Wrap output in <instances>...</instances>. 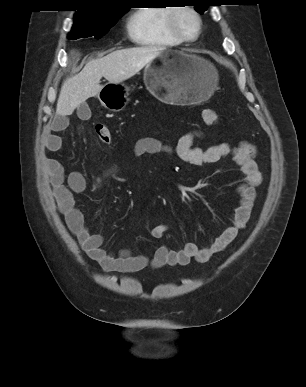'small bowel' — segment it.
<instances>
[{
	"instance_id": "1",
	"label": "small bowel",
	"mask_w": 306,
	"mask_h": 387,
	"mask_svg": "<svg viewBox=\"0 0 306 387\" xmlns=\"http://www.w3.org/2000/svg\"><path fill=\"white\" fill-rule=\"evenodd\" d=\"M68 125L65 115H58L48 126L44 137L45 157L43 168L52 189V195L57 208L64 217L65 222L77 239L85 253L107 272L132 273L140 271L147 266L161 268L163 266H184L192 260L205 263L215 254L223 251L243 230L251 216L256 199V188L262 181L255 160L256 148L249 142H242L237 146L228 143H220L205 149L195 147L197 139L203 137V132L194 130L182 135L176 146L172 147L161 143L158 139L144 137L134 145L135 156L145 154L163 153L174 156L179 161L200 166L215 163L230 157L240 168L244 175V181L240 183L236 191L240 197L239 205L235 209L231 224L207 247L199 248L194 243H187L178 250H170L165 245L160 246L154 255L149 258L146 255H133L124 249L118 253L108 252L103 248L104 238L100 234L91 233L85 224L82 212L77 208L75 194L82 193L86 189V180L80 172L66 174L63 165L50 157L49 153H56L62 149V139L55 134L64 130ZM118 173L117 167L107 169L95 180L94 187L99 188L103 182ZM168 225L162 224L152 230L155 238H161L168 230Z\"/></svg>"
}]
</instances>
